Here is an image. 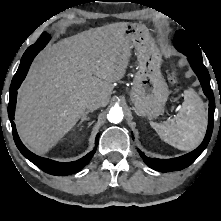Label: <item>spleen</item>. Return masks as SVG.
I'll list each match as a JSON object with an SVG mask.
<instances>
[{
  "mask_svg": "<svg viewBox=\"0 0 221 221\" xmlns=\"http://www.w3.org/2000/svg\"><path fill=\"white\" fill-rule=\"evenodd\" d=\"M159 137L179 149L196 148L204 138L207 127V111L194 90L184 91V102L179 113L170 121L151 123Z\"/></svg>",
  "mask_w": 221,
  "mask_h": 221,
  "instance_id": "3e777b00",
  "label": "spleen"
}]
</instances>
